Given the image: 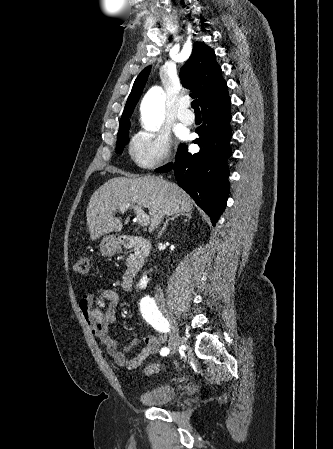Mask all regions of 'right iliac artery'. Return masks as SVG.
<instances>
[{
	"mask_svg": "<svg viewBox=\"0 0 333 449\" xmlns=\"http://www.w3.org/2000/svg\"><path fill=\"white\" fill-rule=\"evenodd\" d=\"M140 310L143 318L151 324L157 331L161 333L168 332L169 324L168 321L163 317L162 313L156 306L153 298L146 296L140 301ZM169 353V349L164 347L161 349L160 354L165 356Z\"/></svg>",
	"mask_w": 333,
	"mask_h": 449,
	"instance_id": "82829eb1",
	"label": "right iliac artery"
}]
</instances>
